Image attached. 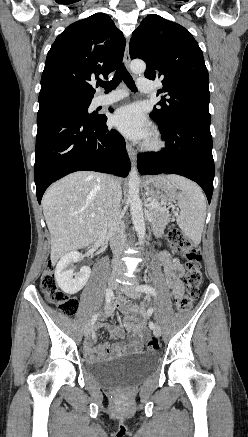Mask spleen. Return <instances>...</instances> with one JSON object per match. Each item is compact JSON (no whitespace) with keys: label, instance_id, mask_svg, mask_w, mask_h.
Instances as JSON below:
<instances>
[{"label":"spleen","instance_id":"3e777b00","mask_svg":"<svg viewBox=\"0 0 248 437\" xmlns=\"http://www.w3.org/2000/svg\"><path fill=\"white\" fill-rule=\"evenodd\" d=\"M167 178L181 190L176 194L180 208L177 223L187 237L199 244L206 218V199L203 191L197 184L182 176L172 174Z\"/></svg>","mask_w":248,"mask_h":437}]
</instances>
